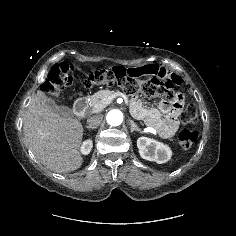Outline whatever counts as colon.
<instances>
[{
	"label": "colon",
	"mask_w": 236,
	"mask_h": 236,
	"mask_svg": "<svg viewBox=\"0 0 236 236\" xmlns=\"http://www.w3.org/2000/svg\"><path fill=\"white\" fill-rule=\"evenodd\" d=\"M119 66L101 68L93 71L84 81V86L90 88L95 85H120L126 93L131 95L142 94L148 98H162L170 103L182 100L180 93L176 90L171 81H162L158 78H151L148 81L117 80L115 71ZM73 84V68L68 63L55 64L49 71L47 79L42 84V91L47 96H55L60 91L71 87ZM186 124L198 122L199 115L196 106L189 105L181 115ZM198 138L197 133L192 129H183L179 134V144L185 151L189 150Z\"/></svg>",
	"instance_id": "obj_1"
}]
</instances>
